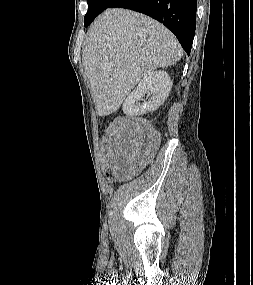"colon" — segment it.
Masks as SVG:
<instances>
[{"label": "colon", "instance_id": "1", "mask_svg": "<svg viewBox=\"0 0 253 285\" xmlns=\"http://www.w3.org/2000/svg\"><path fill=\"white\" fill-rule=\"evenodd\" d=\"M101 145H103V151L101 157L102 167H99V172H113V160L111 158V144L109 140H101ZM106 180H113V175H106Z\"/></svg>", "mask_w": 253, "mask_h": 285}]
</instances>
